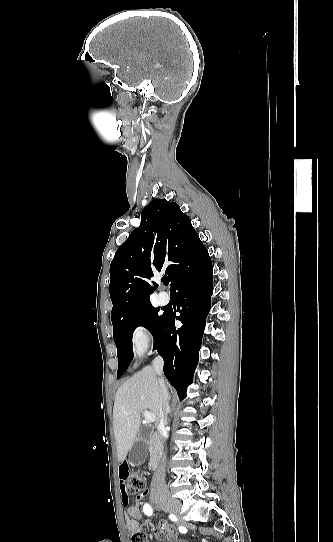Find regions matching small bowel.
I'll list each match as a JSON object with an SVG mask.
<instances>
[{"mask_svg":"<svg viewBox=\"0 0 333 542\" xmlns=\"http://www.w3.org/2000/svg\"><path fill=\"white\" fill-rule=\"evenodd\" d=\"M128 472V466L123 462L119 467V481H120V492H121V502L124 506H128L129 497L125 487V481ZM149 495L148 491L138 494L136 497V504L134 506L128 507L125 513V519L130 530L135 531L139 528V520H142L145 516V511L141 508L143 506V500ZM147 524V522H145ZM167 532V541L171 542L174 538L178 536L179 533H183L184 529L180 527H174L168 522L163 521L160 523V530L156 532V537L159 538L161 532Z\"/></svg>","mask_w":333,"mask_h":542,"instance_id":"obj_1","label":"small bowel"}]
</instances>
